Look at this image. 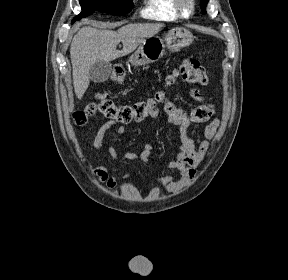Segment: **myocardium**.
I'll list each match as a JSON object with an SVG mask.
<instances>
[{"label":"myocardium","mask_w":288,"mask_h":280,"mask_svg":"<svg viewBox=\"0 0 288 280\" xmlns=\"http://www.w3.org/2000/svg\"><path fill=\"white\" fill-rule=\"evenodd\" d=\"M174 7L179 17L188 19L195 13V0H173Z\"/></svg>","instance_id":"obj_1"}]
</instances>
